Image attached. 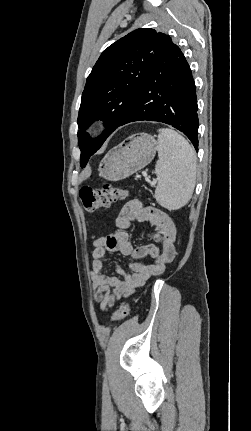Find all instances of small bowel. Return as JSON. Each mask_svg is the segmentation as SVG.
I'll use <instances>...</instances> for the list:
<instances>
[{"label":"small bowel","instance_id":"c3829d8e","mask_svg":"<svg viewBox=\"0 0 251 431\" xmlns=\"http://www.w3.org/2000/svg\"><path fill=\"white\" fill-rule=\"evenodd\" d=\"M135 221L147 222L154 228L150 235L154 243L133 248L125 230ZM116 224L117 231L101 235L93 242V298L103 311H108L119 300L134 294L150 277L162 274L176 255V227L166 213L152 207H144L138 200H131L122 207ZM107 252H119L134 260L150 256L154 262H133L129 266L130 273L116 266L119 277L113 276L103 270L102 260Z\"/></svg>","mask_w":251,"mask_h":431}]
</instances>
